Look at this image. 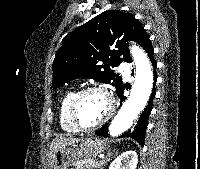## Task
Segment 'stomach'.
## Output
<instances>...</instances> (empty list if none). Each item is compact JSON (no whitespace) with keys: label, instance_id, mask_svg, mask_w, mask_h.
<instances>
[{"label":"stomach","instance_id":"stomach-1","mask_svg":"<svg viewBox=\"0 0 200 169\" xmlns=\"http://www.w3.org/2000/svg\"><path fill=\"white\" fill-rule=\"evenodd\" d=\"M107 148L105 140L90 137L79 145L59 148L50 158L49 169H68L80 160H93Z\"/></svg>","mask_w":200,"mask_h":169}]
</instances>
